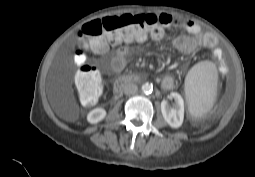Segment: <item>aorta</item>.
Wrapping results in <instances>:
<instances>
[{
	"label": "aorta",
	"mask_w": 255,
	"mask_h": 177,
	"mask_svg": "<svg viewBox=\"0 0 255 177\" xmlns=\"http://www.w3.org/2000/svg\"><path fill=\"white\" fill-rule=\"evenodd\" d=\"M152 91H153V86H152V84H150V83H144V84L142 85V92H144L145 94H150V93H152Z\"/></svg>",
	"instance_id": "762f6f07"
}]
</instances>
